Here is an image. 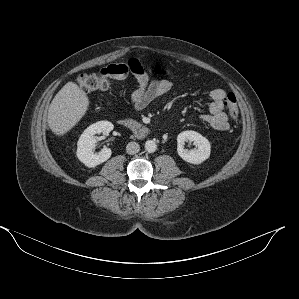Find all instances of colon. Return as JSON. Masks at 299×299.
Here are the masks:
<instances>
[{
  "label": "colon",
  "instance_id": "1",
  "mask_svg": "<svg viewBox=\"0 0 299 299\" xmlns=\"http://www.w3.org/2000/svg\"><path fill=\"white\" fill-rule=\"evenodd\" d=\"M125 72L126 70L122 66L113 65L95 73L79 75L77 84L80 90L85 93L103 91L108 89L113 81L123 76ZM225 104L228 115L234 120L237 119L239 108L233 93L226 95Z\"/></svg>",
  "mask_w": 299,
  "mask_h": 299
}]
</instances>
